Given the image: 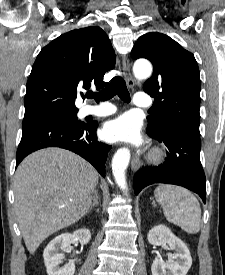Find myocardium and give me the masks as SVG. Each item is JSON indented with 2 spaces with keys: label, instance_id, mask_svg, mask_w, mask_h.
I'll use <instances>...</instances> for the list:
<instances>
[{
  "label": "myocardium",
  "instance_id": "obj_1",
  "mask_svg": "<svg viewBox=\"0 0 225 275\" xmlns=\"http://www.w3.org/2000/svg\"><path fill=\"white\" fill-rule=\"evenodd\" d=\"M162 158H163V152H162L161 149L156 148V149H154V150L151 152L150 160H151L152 162H155V163H156V162H159V161L162 160Z\"/></svg>",
  "mask_w": 225,
  "mask_h": 275
}]
</instances>
